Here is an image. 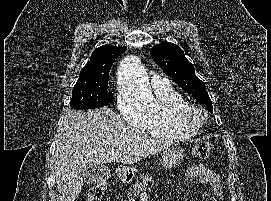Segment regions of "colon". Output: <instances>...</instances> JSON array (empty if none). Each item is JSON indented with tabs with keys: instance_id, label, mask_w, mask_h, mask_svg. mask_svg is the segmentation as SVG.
Listing matches in <instances>:
<instances>
[{
	"instance_id": "colon-1",
	"label": "colon",
	"mask_w": 271,
	"mask_h": 201,
	"mask_svg": "<svg viewBox=\"0 0 271 201\" xmlns=\"http://www.w3.org/2000/svg\"><path fill=\"white\" fill-rule=\"evenodd\" d=\"M193 154L201 159H206L211 154V148L207 143H199L193 148ZM107 185L105 182H98L94 184L87 195L86 201H99L106 192Z\"/></svg>"
}]
</instances>
